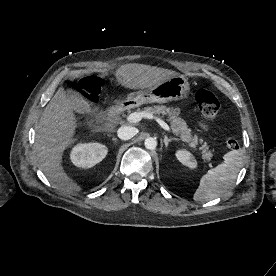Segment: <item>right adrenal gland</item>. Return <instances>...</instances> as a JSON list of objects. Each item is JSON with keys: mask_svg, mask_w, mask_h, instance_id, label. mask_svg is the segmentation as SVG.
Segmentation results:
<instances>
[{"mask_svg": "<svg viewBox=\"0 0 276 276\" xmlns=\"http://www.w3.org/2000/svg\"><path fill=\"white\" fill-rule=\"evenodd\" d=\"M112 140L115 141V142H118V139L115 138V137H112Z\"/></svg>", "mask_w": 276, "mask_h": 276, "instance_id": "right-adrenal-gland-1", "label": "right adrenal gland"}]
</instances>
